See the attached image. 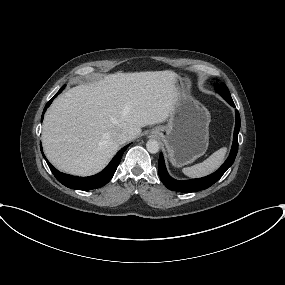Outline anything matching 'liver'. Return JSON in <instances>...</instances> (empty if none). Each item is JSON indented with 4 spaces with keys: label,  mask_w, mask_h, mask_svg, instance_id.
I'll list each match as a JSON object with an SVG mask.
<instances>
[{
    "label": "liver",
    "mask_w": 285,
    "mask_h": 285,
    "mask_svg": "<svg viewBox=\"0 0 285 285\" xmlns=\"http://www.w3.org/2000/svg\"><path fill=\"white\" fill-rule=\"evenodd\" d=\"M177 74L170 70L109 74L60 95L48 109L42 142L60 171L89 176L101 171L119 149L113 134L128 141L141 128L164 122L178 95Z\"/></svg>",
    "instance_id": "obj_1"
}]
</instances>
